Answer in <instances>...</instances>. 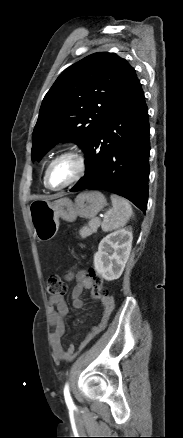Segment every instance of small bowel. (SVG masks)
Instances as JSON below:
<instances>
[{"instance_id":"small-bowel-1","label":"small bowel","mask_w":183,"mask_h":438,"mask_svg":"<svg viewBox=\"0 0 183 438\" xmlns=\"http://www.w3.org/2000/svg\"><path fill=\"white\" fill-rule=\"evenodd\" d=\"M76 279V285L72 290V306L79 309L83 306L81 295L85 289H90L93 285L92 279L83 270L78 272L70 271L66 274V280ZM48 321L53 328L51 333V344L55 357L58 360L69 361L73 358L75 348L69 345L63 348L61 338L65 332V316L68 314L69 307L64 296L53 297L49 299ZM102 316L100 322L92 327L88 332L86 339H90L104 329L108 318L114 308V298L112 295L101 298Z\"/></svg>"}]
</instances>
